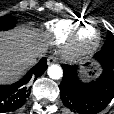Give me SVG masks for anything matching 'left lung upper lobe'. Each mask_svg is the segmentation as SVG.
<instances>
[{
	"label": "left lung upper lobe",
	"instance_id": "obj_1",
	"mask_svg": "<svg viewBox=\"0 0 114 114\" xmlns=\"http://www.w3.org/2000/svg\"><path fill=\"white\" fill-rule=\"evenodd\" d=\"M102 50L114 51V36L110 31L107 32V39Z\"/></svg>",
	"mask_w": 114,
	"mask_h": 114
}]
</instances>
